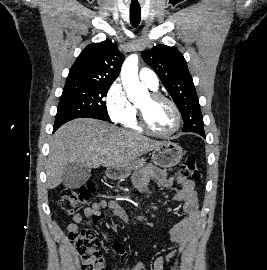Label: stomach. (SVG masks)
<instances>
[{
  "label": "stomach",
  "mask_w": 267,
  "mask_h": 270,
  "mask_svg": "<svg viewBox=\"0 0 267 270\" xmlns=\"http://www.w3.org/2000/svg\"><path fill=\"white\" fill-rule=\"evenodd\" d=\"M182 157V148L172 142H164L152 152L153 163L163 168H170L177 165ZM145 165L146 158L141 157L123 166L109 167L106 173L110 179H125L129 177L132 172L144 167Z\"/></svg>",
  "instance_id": "0dacf381"
}]
</instances>
